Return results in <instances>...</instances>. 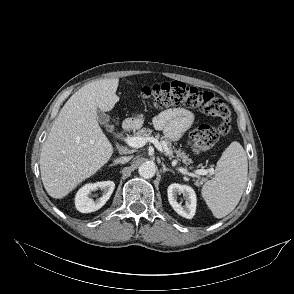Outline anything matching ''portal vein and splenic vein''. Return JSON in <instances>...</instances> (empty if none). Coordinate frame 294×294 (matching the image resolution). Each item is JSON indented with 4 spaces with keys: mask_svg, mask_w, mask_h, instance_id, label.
Masks as SVG:
<instances>
[{
    "mask_svg": "<svg viewBox=\"0 0 294 294\" xmlns=\"http://www.w3.org/2000/svg\"><path fill=\"white\" fill-rule=\"evenodd\" d=\"M124 141L133 148H140L143 147L147 142H151L154 144V146L157 148L158 151H160L161 153L168 151L167 148H165L161 142H159L156 138L153 137H148V138H143V137H133V136H127L124 138ZM176 161L173 162V164H175ZM176 170L183 174V175H190L191 173L188 172L187 169L183 168V167H177ZM196 174L198 175H205L207 173L206 170L204 169H199L195 171Z\"/></svg>",
    "mask_w": 294,
    "mask_h": 294,
    "instance_id": "portal-vein-and-splenic-vein-1",
    "label": "portal vein and splenic vein"
}]
</instances>
